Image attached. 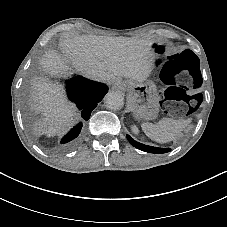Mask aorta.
Returning <instances> with one entry per match:
<instances>
[{
  "mask_svg": "<svg viewBox=\"0 0 227 227\" xmlns=\"http://www.w3.org/2000/svg\"><path fill=\"white\" fill-rule=\"evenodd\" d=\"M105 105L110 110H119L124 105V96L120 92H108L105 96Z\"/></svg>",
  "mask_w": 227,
  "mask_h": 227,
  "instance_id": "762f6f07",
  "label": "aorta"
}]
</instances>
